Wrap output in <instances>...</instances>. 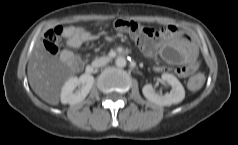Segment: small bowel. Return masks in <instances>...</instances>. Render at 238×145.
Returning <instances> with one entry per match:
<instances>
[{
	"mask_svg": "<svg viewBox=\"0 0 238 145\" xmlns=\"http://www.w3.org/2000/svg\"><path fill=\"white\" fill-rule=\"evenodd\" d=\"M94 38H95V35L86 34L84 32H79V33L73 34L72 37H71V40L74 41V42H79L82 39H89V40H91V39H94ZM196 69H197V63L191 62L187 66L179 67L176 70V72L180 76H186V75H189V74L195 72Z\"/></svg>",
	"mask_w": 238,
	"mask_h": 145,
	"instance_id": "1",
	"label": "small bowel"
}]
</instances>
